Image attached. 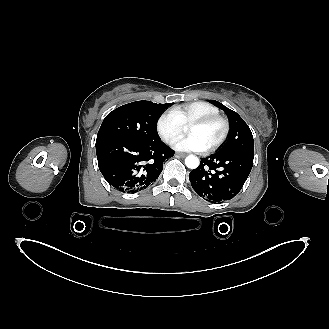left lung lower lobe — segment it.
I'll return each mask as SVG.
<instances>
[{
  "instance_id": "1",
  "label": "left lung lower lobe",
  "mask_w": 329,
  "mask_h": 329,
  "mask_svg": "<svg viewBox=\"0 0 329 329\" xmlns=\"http://www.w3.org/2000/svg\"><path fill=\"white\" fill-rule=\"evenodd\" d=\"M254 155L215 153L201 159L189 174L195 192L202 198L221 203L232 199L242 189L253 165Z\"/></svg>"
}]
</instances>
